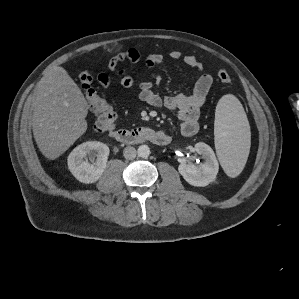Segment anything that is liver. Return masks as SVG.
I'll return each mask as SVG.
<instances>
[{
	"label": "liver",
	"mask_w": 299,
	"mask_h": 299,
	"mask_svg": "<svg viewBox=\"0 0 299 299\" xmlns=\"http://www.w3.org/2000/svg\"><path fill=\"white\" fill-rule=\"evenodd\" d=\"M88 104L81 89L60 66L48 67L35 94L32 127L41 153L61 156L87 130Z\"/></svg>",
	"instance_id": "obj_1"
}]
</instances>
